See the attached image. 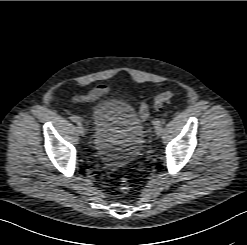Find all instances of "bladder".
Listing matches in <instances>:
<instances>
[{"label": "bladder", "instance_id": "bladder-1", "mask_svg": "<svg viewBox=\"0 0 247 245\" xmlns=\"http://www.w3.org/2000/svg\"><path fill=\"white\" fill-rule=\"evenodd\" d=\"M92 141L98 158L108 167L129 164L145 146V131L131 104L108 98L92 109Z\"/></svg>", "mask_w": 247, "mask_h": 245}]
</instances>
